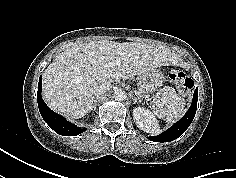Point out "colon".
<instances>
[{"instance_id": "colon-1", "label": "colon", "mask_w": 236, "mask_h": 178, "mask_svg": "<svg viewBox=\"0 0 236 178\" xmlns=\"http://www.w3.org/2000/svg\"><path fill=\"white\" fill-rule=\"evenodd\" d=\"M169 79L177 84L178 92L180 94H188L194 87V81L188 77L183 71L171 70L168 74Z\"/></svg>"}]
</instances>
